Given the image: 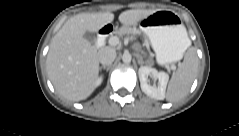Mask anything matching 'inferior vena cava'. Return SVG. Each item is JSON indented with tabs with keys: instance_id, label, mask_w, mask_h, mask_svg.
<instances>
[{
	"instance_id": "inferior-vena-cava-1",
	"label": "inferior vena cava",
	"mask_w": 239,
	"mask_h": 136,
	"mask_svg": "<svg viewBox=\"0 0 239 136\" xmlns=\"http://www.w3.org/2000/svg\"><path fill=\"white\" fill-rule=\"evenodd\" d=\"M116 58V51L111 47H103L98 51L99 62L103 65H111Z\"/></svg>"
}]
</instances>
